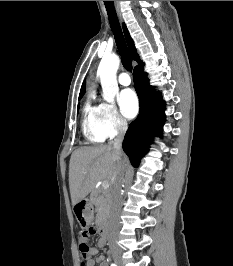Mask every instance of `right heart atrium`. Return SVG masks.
<instances>
[{
  "label": "right heart atrium",
  "mask_w": 233,
  "mask_h": 266,
  "mask_svg": "<svg viewBox=\"0 0 233 266\" xmlns=\"http://www.w3.org/2000/svg\"><path fill=\"white\" fill-rule=\"evenodd\" d=\"M99 129L105 138H114L127 130V122L113 104L103 103Z\"/></svg>",
  "instance_id": "obj_1"
}]
</instances>
